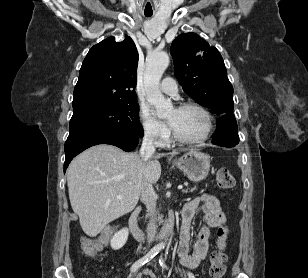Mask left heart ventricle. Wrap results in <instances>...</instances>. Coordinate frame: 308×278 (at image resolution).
<instances>
[{
	"label": "left heart ventricle",
	"instance_id": "1",
	"mask_svg": "<svg viewBox=\"0 0 308 278\" xmlns=\"http://www.w3.org/2000/svg\"><path fill=\"white\" fill-rule=\"evenodd\" d=\"M167 119L172 122V128L186 138L202 136L207 126L204 115L196 109H173Z\"/></svg>",
	"mask_w": 308,
	"mask_h": 278
}]
</instances>
